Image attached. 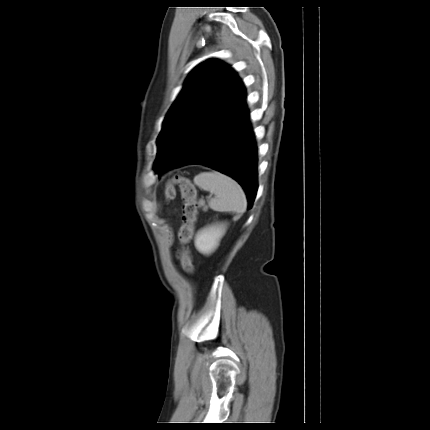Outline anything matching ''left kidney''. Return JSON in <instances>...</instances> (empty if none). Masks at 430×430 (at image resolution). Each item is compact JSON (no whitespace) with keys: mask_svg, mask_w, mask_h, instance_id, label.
Segmentation results:
<instances>
[{"mask_svg":"<svg viewBox=\"0 0 430 430\" xmlns=\"http://www.w3.org/2000/svg\"><path fill=\"white\" fill-rule=\"evenodd\" d=\"M226 223H216L199 230L195 237L196 249L204 254H211L219 245V241L225 233Z\"/></svg>","mask_w":430,"mask_h":430,"instance_id":"5707ae66","label":"left kidney"}]
</instances>
